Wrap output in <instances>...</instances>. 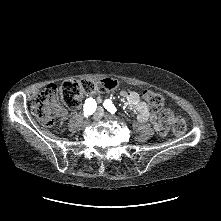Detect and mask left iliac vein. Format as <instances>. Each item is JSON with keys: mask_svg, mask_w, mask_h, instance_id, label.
Segmentation results:
<instances>
[{"mask_svg": "<svg viewBox=\"0 0 221 221\" xmlns=\"http://www.w3.org/2000/svg\"><path fill=\"white\" fill-rule=\"evenodd\" d=\"M110 118H112V119H116V118H114V117H110Z\"/></svg>", "mask_w": 221, "mask_h": 221, "instance_id": "left-iliac-vein-1", "label": "left iliac vein"}]
</instances>
